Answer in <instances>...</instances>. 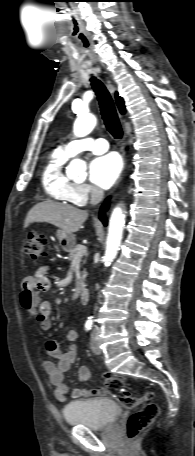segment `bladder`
Listing matches in <instances>:
<instances>
[{
  "instance_id": "31cf9c89",
  "label": "bladder",
  "mask_w": 195,
  "mask_h": 456,
  "mask_svg": "<svg viewBox=\"0 0 195 456\" xmlns=\"http://www.w3.org/2000/svg\"><path fill=\"white\" fill-rule=\"evenodd\" d=\"M62 414L69 425L104 430L119 419L122 408L112 399H90L69 403Z\"/></svg>"
}]
</instances>
